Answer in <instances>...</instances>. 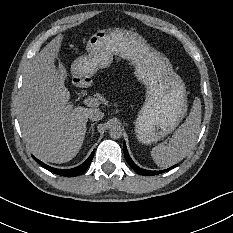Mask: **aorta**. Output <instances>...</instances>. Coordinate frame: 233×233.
Returning <instances> with one entry per match:
<instances>
[{
  "mask_svg": "<svg viewBox=\"0 0 233 233\" xmlns=\"http://www.w3.org/2000/svg\"><path fill=\"white\" fill-rule=\"evenodd\" d=\"M109 134H110L111 138L119 139L122 136V129L118 125H113L109 130Z\"/></svg>",
  "mask_w": 233,
  "mask_h": 233,
  "instance_id": "aorta-1",
  "label": "aorta"
}]
</instances>
